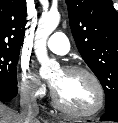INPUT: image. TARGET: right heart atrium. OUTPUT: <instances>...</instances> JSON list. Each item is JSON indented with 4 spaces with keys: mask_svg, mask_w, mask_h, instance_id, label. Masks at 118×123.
<instances>
[{
    "mask_svg": "<svg viewBox=\"0 0 118 123\" xmlns=\"http://www.w3.org/2000/svg\"><path fill=\"white\" fill-rule=\"evenodd\" d=\"M19 90L21 94L30 100H37L46 95V87L40 79L31 71L28 64H22L19 74Z\"/></svg>",
    "mask_w": 118,
    "mask_h": 123,
    "instance_id": "obj_1",
    "label": "right heart atrium"
}]
</instances>
